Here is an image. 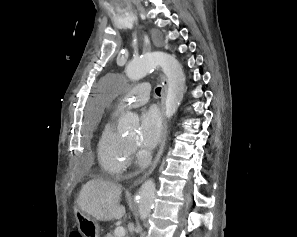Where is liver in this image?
Instances as JSON below:
<instances>
[{
	"instance_id": "1",
	"label": "liver",
	"mask_w": 297,
	"mask_h": 237,
	"mask_svg": "<svg viewBox=\"0 0 297 237\" xmlns=\"http://www.w3.org/2000/svg\"><path fill=\"white\" fill-rule=\"evenodd\" d=\"M121 187L103 180H90L83 185L77 201L80 210L98 221L121 219L125 207L120 205Z\"/></svg>"
}]
</instances>
